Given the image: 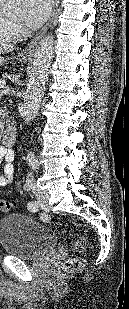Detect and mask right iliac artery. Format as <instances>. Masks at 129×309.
<instances>
[{"label": "right iliac artery", "mask_w": 129, "mask_h": 309, "mask_svg": "<svg viewBox=\"0 0 129 309\" xmlns=\"http://www.w3.org/2000/svg\"><path fill=\"white\" fill-rule=\"evenodd\" d=\"M32 182H33V175L32 173H29L27 176L26 184L24 186L25 190H30L32 187Z\"/></svg>", "instance_id": "obj_1"}]
</instances>
